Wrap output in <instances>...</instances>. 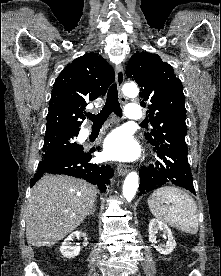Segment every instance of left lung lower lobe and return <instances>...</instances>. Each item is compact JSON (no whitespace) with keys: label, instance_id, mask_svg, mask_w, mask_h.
<instances>
[{"label":"left lung lower lobe","instance_id":"0a47b994","mask_svg":"<svg viewBox=\"0 0 221 276\" xmlns=\"http://www.w3.org/2000/svg\"><path fill=\"white\" fill-rule=\"evenodd\" d=\"M159 160L148 167L143 166L140 174V195L163 186L175 184L195 194L191 169L188 163V150L170 148L166 145L155 147Z\"/></svg>","mask_w":221,"mask_h":276}]
</instances>
